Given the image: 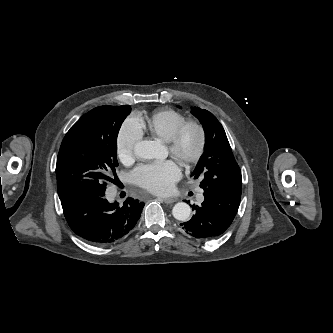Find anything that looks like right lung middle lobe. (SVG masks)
<instances>
[{"label": "right lung middle lobe", "mask_w": 333, "mask_h": 333, "mask_svg": "<svg viewBox=\"0 0 333 333\" xmlns=\"http://www.w3.org/2000/svg\"><path fill=\"white\" fill-rule=\"evenodd\" d=\"M131 112L129 105L99 106L83 115L65 135L57 158L61 201L104 196L117 161V136Z\"/></svg>", "instance_id": "right-lung-middle-lobe-1"}]
</instances>
